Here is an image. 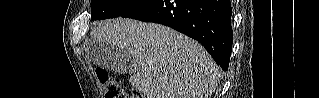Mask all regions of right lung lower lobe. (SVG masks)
Here are the masks:
<instances>
[{
    "instance_id": "right-lung-lower-lobe-1",
    "label": "right lung lower lobe",
    "mask_w": 319,
    "mask_h": 98,
    "mask_svg": "<svg viewBox=\"0 0 319 98\" xmlns=\"http://www.w3.org/2000/svg\"><path fill=\"white\" fill-rule=\"evenodd\" d=\"M231 16L230 0H146L120 17L169 26L199 41L227 70L233 43Z\"/></svg>"
}]
</instances>
